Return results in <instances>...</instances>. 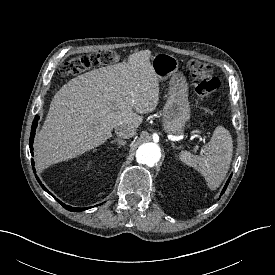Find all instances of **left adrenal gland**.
Here are the masks:
<instances>
[{
	"instance_id": "1",
	"label": "left adrenal gland",
	"mask_w": 275,
	"mask_h": 275,
	"mask_svg": "<svg viewBox=\"0 0 275 275\" xmlns=\"http://www.w3.org/2000/svg\"><path fill=\"white\" fill-rule=\"evenodd\" d=\"M172 147L175 148V149H178L174 143H172Z\"/></svg>"
}]
</instances>
